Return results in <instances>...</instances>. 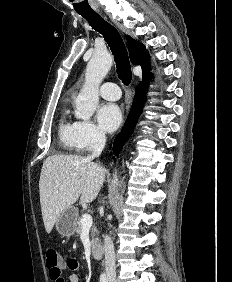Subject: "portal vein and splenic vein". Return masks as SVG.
Returning <instances> with one entry per match:
<instances>
[{
	"label": "portal vein and splenic vein",
	"instance_id": "1",
	"mask_svg": "<svg viewBox=\"0 0 232 282\" xmlns=\"http://www.w3.org/2000/svg\"><path fill=\"white\" fill-rule=\"evenodd\" d=\"M82 227H91L93 220L90 214H84L81 218Z\"/></svg>",
	"mask_w": 232,
	"mask_h": 282
}]
</instances>
